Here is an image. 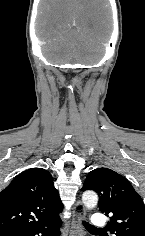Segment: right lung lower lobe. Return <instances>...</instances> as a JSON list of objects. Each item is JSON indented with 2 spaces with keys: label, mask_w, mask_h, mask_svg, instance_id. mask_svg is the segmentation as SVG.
Returning a JSON list of instances; mask_svg holds the SVG:
<instances>
[{
  "label": "right lung lower lobe",
  "mask_w": 145,
  "mask_h": 236,
  "mask_svg": "<svg viewBox=\"0 0 145 236\" xmlns=\"http://www.w3.org/2000/svg\"><path fill=\"white\" fill-rule=\"evenodd\" d=\"M60 225L61 219L58 218L35 230L5 234L3 236H35L37 234H41L42 236H59Z\"/></svg>",
  "instance_id": "98d812e1"
}]
</instances>
